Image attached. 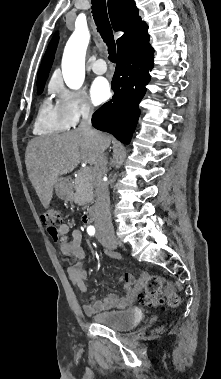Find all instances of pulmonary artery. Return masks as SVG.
<instances>
[{"mask_svg": "<svg viewBox=\"0 0 221 379\" xmlns=\"http://www.w3.org/2000/svg\"><path fill=\"white\" fill-rule=\"evenodd\" d=\"M91 68L95 74H104L107 71V66L103 59L96 60Z\"/></svg>", "mask_w": 221, "mask_h": 379, "instance_id": "e3ab8cb5", "label": "pulmonary artery"}]
</instances>
